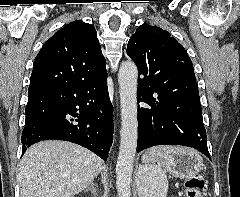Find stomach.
<instances>
[{
  "mask_svg": "<svg viewBox=\"0 0 240 197\" xmlns=\"http://www.w3.org/2000/svg\"><path fill=\"white\" fill-rule=\"evenodd\" d=\"M157 161L153 154L146 153L142 156L143 165L155 164ZM164 168L173 176L178 178H188L196 175L203 168V161L194 150L183 148L182 151L171 154L169 161L163 162ZM140 172V170H139ZM138 189L139 191L144 185L143 178L138 173Z\"/></svg>",
  "mask_w": 240,
  "mask_h": 197,
  "instance_id": "stomach-1",
  "label": "stomach"
}]
</instances>
